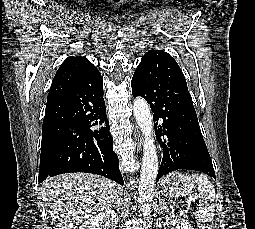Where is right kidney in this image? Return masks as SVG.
Segmentation results:
<instances>
[{
	"label": "right kidney",
	"mask_w": 255,
	"mask_h": 229,
	"mask_svg": "<svg viewBox=\"0 0 255 229\" xmlns=\"http://www.w3.org/2000/svg\"><path fill=\"white\" fill-rule=\"evenodd\" d=\"M117 223V213L112 210H105L84 221L79 229H115Z\"/></svg>",
	"instance_id": "ca27d5eb"
}]
</instances>
